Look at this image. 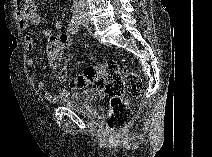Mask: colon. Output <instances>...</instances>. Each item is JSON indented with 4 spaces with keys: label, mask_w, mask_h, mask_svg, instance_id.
<instances>
[{
    "label": "colon",
    "mask_w": 212,
    "mask_h": 157,
    "mask_svg": "<svg viewBox=\"0 0 212 157\" xmlns=\"http://www.w3.org/2000/svg\"><path fill=\"white\" fill-rule=\"evenodd\" d=\"M70 40L67 36L52 37L45 49V59L51 72L60 80H66L67 57ZM85 83L108 94L111 111L107 121V130L112 135L122 131L132 121L133 114L123 97L137 98L142 90V81L134 70L121 72L115 60H106L88 66L74 82L76 86Z\"/></svg>",
    "instance_id": "5ec220e1"
}]
</instances>
